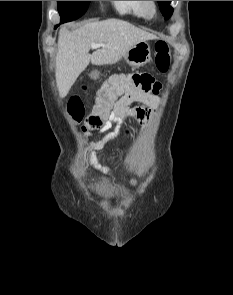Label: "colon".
I'll use <instances>...</instances> for the list:
<instances>
[{"label": "colon", "instance_id": "obj_1", "mask_svg": "<svg viewBox=\"0 0 233 295\" xmlns=\"http://www.w3.org/2000/svg\"><path fill=\"white\" fill-rule=\"evenodd\" d=\"M155 63L159 71L166 72L170 65V49L166 42L155 44ZM161 84L149 73L132 72L109 78L99 90L92 111L85 118L88 129L100 128L107 120L113 104L123 97H137L143 94H158ZM68 112L75 121L85 116V107L79 97L68 102Z\"/></svg>", "mask_w": 233, "mask_h": 295}]
</instances>
